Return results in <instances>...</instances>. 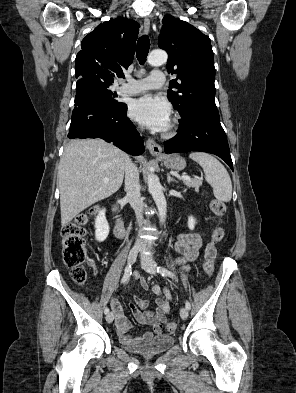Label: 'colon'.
Returning a JSON list of instances; mask_svg holds the SVG:
<instances>
[{"label": "colon", "mask_w": 296, "mask_h": 393, "mask_svg": "<svg viewBox=\"0 0 296 393\" xmlns=\"http://www.w3.org/2000/svg\"><path fill=\"white\" fill-rule=\"evenodd\" d=\"M210 209L218 218L224 217L227 212L225 203L216 199L210 201ZM96 211L97 207H92L87 213L80 214L73 221L67 223L61 231L63 260L71 268L73 280L80 285L84 284L88 279L85 226L90 216L94 215ZM223 236V229L221 227L216 228L212 233V243L217 244L222 240ZM203 269L207 276H211L214 272L213 261L206 258L203 263ZM168 329L174 331L176 323H169Z\"/></svg>", "instance_id": "5ec220e1"}]
</instances>
